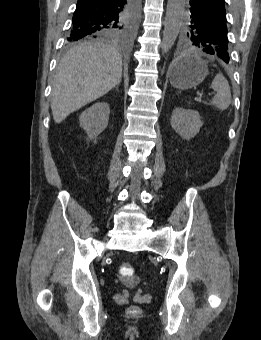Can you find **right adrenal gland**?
Listing matches in <instances>:
<instances>
[{
	"label": "right adrenal gland",
	"instance_id": "obj_1",
	"mask_svg": "<svg viewBox=\"0 0 261 340\" xmlns=\"http://www.w3.org/2000/svg\"><path fill=\"white\" fill-rule=\"evenodd\" d=\"M119 84H120V83H118V84L116 85V89H117V90H118Z\"/></svg>",
	"mask_w": 261,
	"mask_h": 340
}]
</instances>
